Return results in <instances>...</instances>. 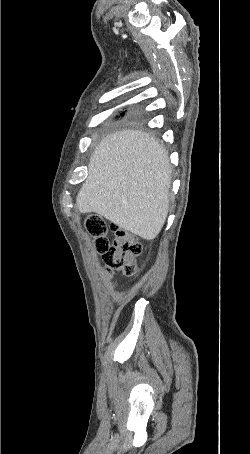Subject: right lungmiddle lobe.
I'll return each instance as SVG.
<instances>
[{"instance_id":"right-lung-middle-lobe-1","label":"right lung middle lobe","mask_w":250,"mask_h":454,"mask_svg":"<svg viewBox=\"0 0 250 454\" xmlns=\"http://www.w3.org/2000/svg\"><path fill=\"white\" fill-rule=\"evenodd\" d=\"M141 117H142V113L139 108H132L129 112L121 114V119H123L124 122L130 121V120H136Z\"/></svg>"}]
</instances>
